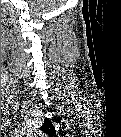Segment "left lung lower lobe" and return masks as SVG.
<instances>
[{"label": "left lung lower lobe", "instance_id": "0a47b994", "mask_svg": "<svg viewBox=\"0 0 121 137\" xmlns=\"http://www.w3.org/2000/svg\"><path fill=\"white\" fill-rule=\"evenodd\" d=\"M54 134H55V130L52 133H50L49 135H54Z\"/></svg>", "mask_w": 121, "mask_h": 137}]
</instances>
